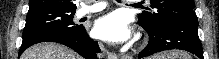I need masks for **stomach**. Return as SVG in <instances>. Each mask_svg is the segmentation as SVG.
Listing matches in <instances>:
<instances>
[{"label":"stomach","instance_id":"obj_1","mask_svg":"<svg viewBox=\"0 0 219 59\" xmlns=\"http://www.w3.org/2000/svg\"><path fill=\"white\" fill-rule=\"evenodd\" d=\"M166 56L164 55H158V56H155V59H167L165 58Z\"/></svg>","mask_w":219,"mask_h":59}]
</instances>
